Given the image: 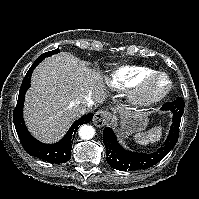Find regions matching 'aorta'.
Here are the masks:
<instances>
[{"label":"aorta","instance_id":"aorta-1","mask_svg":"<svg viewBox=\"0 0 199 199\" xmlns=\"http://www.w3.org/2000/svg\"><path fill=\"white\" fill-rule=\"evenodd\" d=\"M95 135V130L90 125H82L79 129V136L84 139H91Z\"/></svg>","mask_w":199,"mask_h":199}]
</instances>
